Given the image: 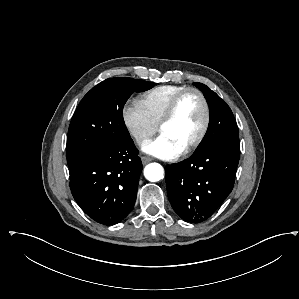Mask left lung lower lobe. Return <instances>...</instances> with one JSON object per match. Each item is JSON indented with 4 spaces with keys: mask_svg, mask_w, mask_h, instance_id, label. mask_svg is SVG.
<instances>
[{
    "mask_svg": "<svg viewBox=\"0 0 299 299\" xmlns=\"http://www.w3.org/2000/svg\"><path fill=\"white\" fill-rule=\"evenodd\" d=\"M240 150L213 146L167 165V194L175 212L188 222H202L233 189Z\"/></svg>",
    "mask_w": 299,
    "mask_h": 299,
    "instance_id": "0a47b994",
    "label": "left lung lower lobe"
}]
</instances>
